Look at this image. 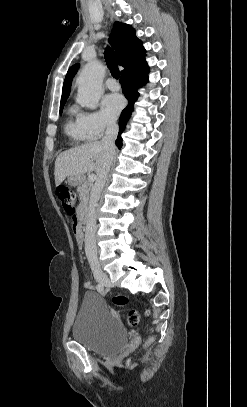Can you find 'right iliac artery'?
Returning a JSON list of instances; mask_svg holds the SVG:
<instances>
[{
  "label": "right iliac artery",
  "mask_w": 247,
  "mask_h": 407,
  "mask_svg": "<svg viewBox=\"0 0 247 407\" xmlns=\"http://www.w3.org/2000/svg\"><path fill=\"white\" fill-rule=\"evenodd\" d=\"M96 289H97V291L98 292H103L104 291V286L102 285V284H98L97 286H96Z\"/></svg>",
  "instance_id": "right-iliac-artery-1"
}]
</instances>
